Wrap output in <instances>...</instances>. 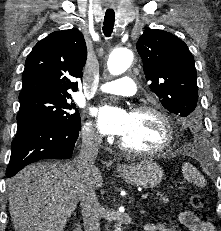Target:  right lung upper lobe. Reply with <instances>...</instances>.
<instances>
[{"mask_svg":"<svg viewBox=\"0 0 221 231\" xmlns=\"http://www.w3.org/2000/svg\"><path fill=\"white\" fill-rule=\"evenodd\" d=\"M87 58L83 35L74 28L55 31L39 41L25 62L19 99L37 95L67 96L76 91Z\"/></svg>","mask_w":221,"mask_h":231,"instance_id":"cb5924a9","label":"right lung upper lobe"}]
</instances>
